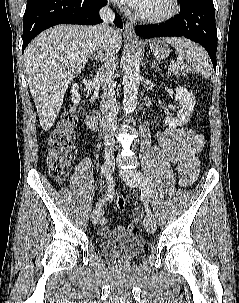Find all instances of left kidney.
I'll list each match as a JSON object with an SVG mask.
<instances>
[{
	"label": "left kidney",
	"mask_w": 239,
	"mask_h": 303,
	"mask_svg": "<svg viewBox=\"0 0 239 303\" xmlns=\"http://www.w3.org/2000/svg\"><path fill=\"white\" fill-rule=\"evenodd\" d=\"M175 99L180 104V110L176 117L165 118V125L169 128H175L177 126L187 124L196 103L195 96L184 87H177Z\"/></svg>",
	"instance_id": "obj_1"
}]
</instances>
